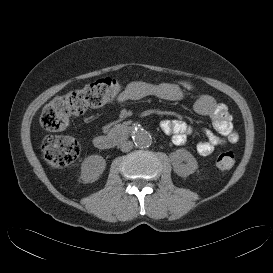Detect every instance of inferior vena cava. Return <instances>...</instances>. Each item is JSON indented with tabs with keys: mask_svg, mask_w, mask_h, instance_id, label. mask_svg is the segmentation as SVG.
<instances>
[{
	"mask_svg": "<svg viewBox=\"0 0 273 273\" xmlns=\"http://www.w3.org/2000/svg\"><path fill=\"white\" fill-rule=\"evenodd\" d=\"M133 143L131 141H122L119 145L120 149L122 152H129L130 150L133 149Z\"/></svg>",
	"mask_w": 273,
	"mask_h": 273,
	"instance_id": "obj_1",
	"label": "inferior vena cava"
}]
</instances>
